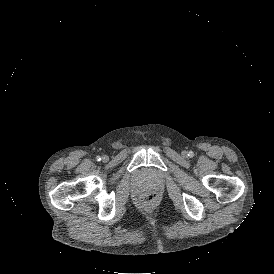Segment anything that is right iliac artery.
Instances as JSON below:
<instances>
[{"mask_svg":"<svg viewBox=\"0 0 274 274\" xmlns=\"http://www.w3.org/2000/svg\"><path fill=\"white\" fill-rule=\"evenodd\" d=\"M96 160H97V161H101V157H100V156H97V157H96Z\"/></svg>","mask_w":274,"mask_h":274,"instance_id":"right-iliac-artery-1","label":"right iliac artery"}]
</instances>
